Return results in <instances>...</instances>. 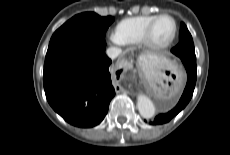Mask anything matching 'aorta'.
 <instances>
[{"instance_id":"obj_1","label":"aorta","mask_w":230,"mask_h":155,"mask_svg":"<svg viewBox=\"0 0 230 155\" xmlns=\"http://www.w3.org/2000/svg\"><path fill=\"white\" fill-rule=\"evenodd\" d=\"M137 106L143 118L150 119L154 116L155 107L147 96L140 94L137 98Z\"/></svg>"}]
</instances>
